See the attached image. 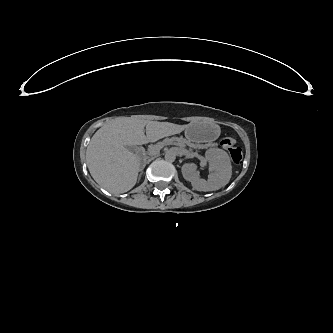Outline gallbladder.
<instances>
[{"label": "gallbladder", "mask_w": 333, "mask_h": 333, "mask_svg": "<svg viewBox=\"0 0 333 333\" xmlns=\"http://www.w3.org/2000/svg\"><path fill=\"white\" fill-rule=\"evenodd\" d=\"M127 149L133 150V146H126Z\"/></svg>", "instance_id": "obj_1"}]
</instances>
